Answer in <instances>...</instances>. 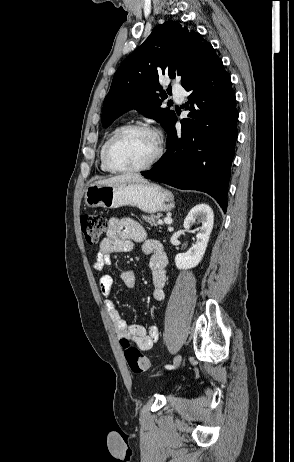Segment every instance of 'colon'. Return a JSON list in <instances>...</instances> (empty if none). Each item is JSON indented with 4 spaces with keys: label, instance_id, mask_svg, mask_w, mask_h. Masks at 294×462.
<instances>
[{
    "label": "colon",
    "instance_id": "colon-1",
    "mask_svg": "<svg viewBox=\"0 0 294 462\" xmlns=\"http://www.w3.org/2000/svg\"><path fill=\"white\" fill-rule=\"evenodd\" d=\"M81 228L88 244H97L106 229V220L100 215H86L81 219ZM126 361L134 373H143L150 367V362L129 340L122 339Z\"/></svg>",
    "mask_w": 294,
    "mask_h": 462
}]
</instances>
